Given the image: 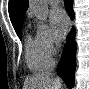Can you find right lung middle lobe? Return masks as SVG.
<instances>
[{
    "label": "right lung middle lobe",
    "mask_w": 89,
    "mask_h": 89,
    "mask_svg": "<svg viewBox=\"0 0 89 89\" xmlns=\"http://www.w3.org/2000/svg\"><path fill=\"white\" fill-rule=\"evenodd\" d=\"M16 33H17L18 37L21 39V35H22V25H20V27L16 30Z\"/></svg>",
    "instance_id": "dd1d6c3e"
}]
</instances>
